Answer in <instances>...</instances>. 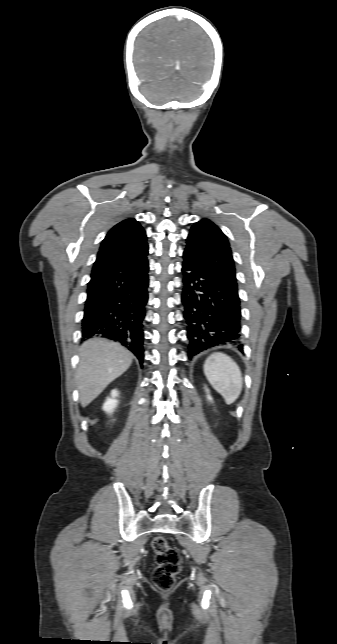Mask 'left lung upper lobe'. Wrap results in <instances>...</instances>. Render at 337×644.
I'll return each instance as SVG.
<instances>
[{
  "label": "left lung upper lobe",
  "mask_w": 337,
  "mask_h": 644,
  "mask_svg": "<svg viewBox=\"0 0 337 644\" xmlns=\"http://www.w3.org/2000/svg\"><path fill=\"white\" fill-rule=\"evenodd\" d=\"M186 243L184 254L207 264L235 291H238L229 242L213 222L202 219L195 223L189 231Z\"/></svg>",
  "instance_id": "1"
}]
</instances>
